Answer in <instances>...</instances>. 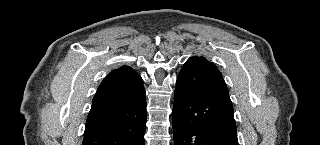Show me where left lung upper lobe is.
Listing matches in <instances>:
<instances>
[{"mask_svg": "<svg viewBox=\"0 0 320 145\" xmlns=\"http://www.w3.org/2000/svg\"><path fill=\"white\" fill-rule=\"evenodd\" d=\"M191 59H195V60H199V61H203V62H208L204 57L200 56V57H192ZM211 63V62H208ZM213 64V63H212Z\"/></svg>", "mask_w": 320, "mask_h": 145, "instance_id": "5c2ea615", "label": "left lung upper lobe"}]
</instances>
